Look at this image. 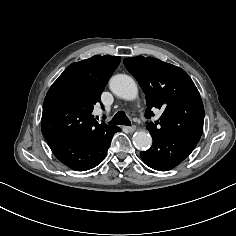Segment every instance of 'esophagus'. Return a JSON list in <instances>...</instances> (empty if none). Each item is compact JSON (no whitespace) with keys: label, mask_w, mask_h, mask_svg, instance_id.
<instances>
[{"label":"esophagus","mask_w":236,"mask_h":236,"mask_svg":"<svg viewBox=\"0 0 236 236\" xmlns=\"http://www.w3.org/2000/svg\"><path fill=\"white\" fill-rule=\"evenodd\" d=\"M127 129L130 133H133L136 131V126L133 125V126L127 127Z\"/></svg>","instance_id":"34e87169"}]
</instances>
